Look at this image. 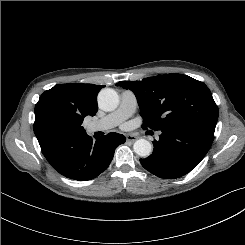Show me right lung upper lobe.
Listing matches in <instances>:
<instances>
[{"label":"right lung upper lobe","mask_w":245,"mask_h":245,"mask_svg":"<svg viewBox=\"0 0 245 245\" xmlns=\"http://www.w3.org/2000/svg\"><path fill=\"white\" fill-rule=\"evenodd\" d=\"M103 87L94 84H58L42 93L35 105L33 129L49 163L57 158L63 142L87 136L81 124L85 116L96 114V97ZM53 112L66 118L64 128L51 123L50 115Z\"/></svg>","instance_id":"1"}]
</instances>
